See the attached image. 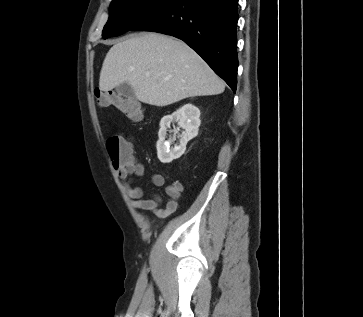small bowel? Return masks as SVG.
<instances>
[{"label": "small bowel", "instance_id": "1", "mask_svg": "<svg viewBox=\"0 0 363 317\" xmlns=\"http://www.w3.org/2000/svg\"><path fill=\"white\" fill-rule=\"evenodd\" d=\"M116 172L122 182V186L128 195L131 205L141 211H148L158 219H164L174 214L179 209V199L183 191V184L179 181L172 182L166 188L169 200L165 208H161V198L154 195L152 198H143V189L132 185V175L142 176L145 173V166L142 163H129L118 166ZM154 186L160 187L165 183V178L160 173H155L151 177Z\"/></svg>", "mask_w": 363, "mask_h": 317}]
</instances>
